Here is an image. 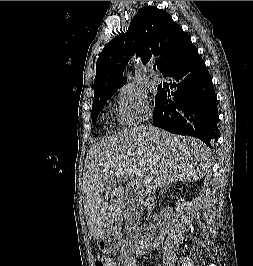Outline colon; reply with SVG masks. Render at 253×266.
I'll use <instances>...</instances> for the list:
<instances>
[{"mask_svg":"<svg viewBox=\"0 0 253 266\" xmlns=\"http://www.w3.org/2000/svg\"><path fill=\"white\" fill-rule=\"evenodd\" d=\"M95 266H114L113 260L104 255H98L95 258Z\"/></svg>","mask_w":253,"mask_h":266,"instance_id":"5ec220e1","label":"colon"}]
</instances>
